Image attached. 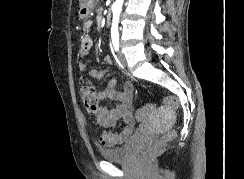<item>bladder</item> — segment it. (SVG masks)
<instances>
[{
    "instance_id": "obj_1",
    "label": "bladder",
    "mask_w": 244,
    "mask_h": 179,
    "mask_svg": "<svg viewBox=\"0 0 244 179\" xmlns=\"http://www.w3.org/2000/svg\"><path fill=\"white\" fill-rule=\"evenodd\" d=\"M131 141L132 140L128 141L122 146H115L112 148H100V157L104 158L107 161L123 160L128 158V156L132 152V147L130 145Z\"/></svg>"
}]
</instances>
